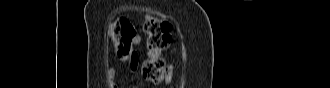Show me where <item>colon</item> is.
<instances>
[{
    "label": "colon",
    "instance_id": "obj_1",
    "mask_svg": "<svg viewBox=\"0 0 330 88\" xmlns=\"http://www.w3.org/2000/svg\"><path fill=\"white\" fill-rule=\"evenodd\" d=\"M146 34L147 57L141 66L142 78L153 84L168 82L171 78V66L162 57L172 41V25L169 21L156 16H148L143 24ZM116 55L127 59L134 54L132 40L136 29L124 18L114 21L108 30Z\"/></svg>",
    "mask_w": 330,
    "mask_h": 88
}]
</instances>
